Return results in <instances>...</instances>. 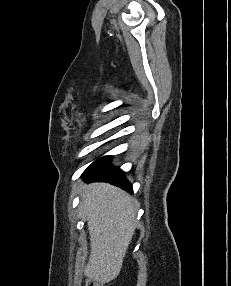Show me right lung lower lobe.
Segmentation results:
<instances>
[{"mask_svg": "<svg viewBox=\"0 0 231 286\" xmlns=\"http://www.w3.org/2000/svg\"><path fill=\"white\" fill-rule=\"evenodd\" d=\"M111 157L105 156L92 163L82 174L83 178L92 181L109 182L132 193V186L127 182L124 172L110 165Z\"/></svg>", "mask_w": 231, "mask_h": 286, "instance_id": "1", "label": "right lung lower lobe"}]
</instances>
